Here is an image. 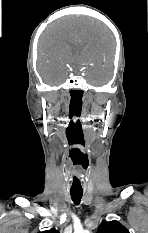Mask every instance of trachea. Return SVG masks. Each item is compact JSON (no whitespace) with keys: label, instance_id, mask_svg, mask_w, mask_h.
I'll return each mask as SVG.
<instances>
[{"label":"trachea","instance_id":"obj_1","mask_svg":"<svg viewBox=\"0 0 148 233\" xmlns=\"http://www.w3.org/2000/svg\"><path fill=\"white\" fill-rule=\"evenodd\" d=\"M73 202L78 205L81 201L83 191H70Z\"/></svg>","mask_w":148,"mask_h":233}]
</instances>
